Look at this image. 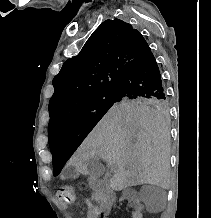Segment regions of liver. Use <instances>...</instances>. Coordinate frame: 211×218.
I'll list each match as a JSON object with an SVG mask.
<instances>
[{
    "mask_svg": "<svg viewBox=\"0 0 211 218\" xmlns=\"http://www.w3.org/2000/svg\"><path fill=\"white\" fill-rule=\"evenodd\" d=\"M169 138L163 114L151 108L115 104L85 138L69 164L79 174H87L86 162L103 158L109 166H118L111 184L113 190L139 184H155L168 190Z\"/></svg>",
    "mask_w": 211,
    "mask_h": 218,
    "instance_id": "liver-1",
    "label": "liver"
}]
</instances>
